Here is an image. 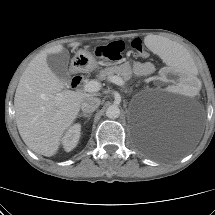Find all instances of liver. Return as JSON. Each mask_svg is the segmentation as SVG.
<instances>
[{
  "instance_id": "obj_1",
  "label": "liver",
  "mask_w": 215,
  "mask_h": 215,
  "mask_svg": "<svg viewBox=\"0 0 215 215\" xmlns=\"http://www.w3.org/2000/svg\"><path fill=\"white\" fill-rule=\"evenodd\" d=\"M79 45L69 44L73 48ZM62 50V45H55L32 59L19 80L14 98L22 140L32 151L47 157L56 154L62 136L78 116L81 103L91 96L63 90L64 83L49 68L47 55Z\"/></svg>"
}]
</instances>
